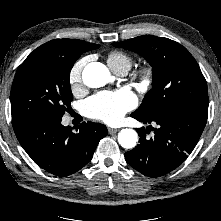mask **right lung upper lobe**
Here are the masks:
<instances>
[{
    "label": "right lung upper lobe",
    "mask_w": 221,
    "mask_h": 221,
    "mask_svg": "<svg viewBox=\"0 0 221 221\" xmlns=\"http://www.w3.org/2000/svg\"><path fill=\"white\" fill-rule=\"evenodd\" d=\"M41 46H64V47H70L73 50L76 51H90L97 49L96 47L99 45L88 43L83 40H77V39H54L51 40Z\"/></svg>",
    "instance_id": "obj_1"
}]
</instances>
